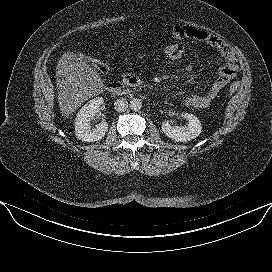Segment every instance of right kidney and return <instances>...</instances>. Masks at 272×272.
<instances>
[{
  "label": "right kidney",
  "mask_w": 272,
  "mask_h": 272,
  "mask_svg": "<svg viewBox=\"0 0 272 272\" xmlns=\"http://www.w3.org/2000/svg\"><path fill=\"white\" fill-rule=\"evenodd\" d=\"M104 103L102 97H96L88 101L78 112L75 119L76 138L84 142H95L101 140L108 131V123L100 122L95 128H91L92 121L98 114Z\"/></svg>",
  "instance_id": "obj_1"
}]
</instances>
